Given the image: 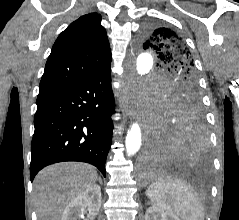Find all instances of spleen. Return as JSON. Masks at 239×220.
I'll use <instances>...</instances> for the list:
<instances>
[{"instance_id":"3e777b00","label":"spleen","mask_w":239,"mask_h":220,"mask_svg":"<svg viewBox=\"0 0 239 220\" xmlns=\"http://www.w3.org/2000/svg\"><path fill=\"white\" fill-rule=\"evenodd\" d=\"M146 196L155 206L175 213L182 220H204L201 200L183 180L159 179L147 188Z\"/></svg>"}]
</instances>
